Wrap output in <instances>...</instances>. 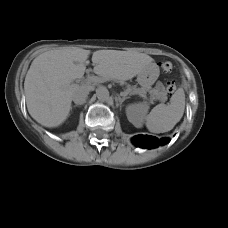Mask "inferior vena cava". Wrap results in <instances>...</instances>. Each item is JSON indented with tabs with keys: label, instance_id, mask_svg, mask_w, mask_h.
<instances>
[{
	"label": "inferior vena cava",
	"instance_id": "obj_1",
	"mask_svg": "<svg viewBox=\"0 0 228 228\" xmlns=\"http://www.w3.org/2000/svg\"><path fill=\"white\" fill-rule=\"evenodd\" d=\"M90 89L84 86L77 87L72 93V100L76 105H82L86 102Z\"/></svg>",
	"mask_w": 228,
	"mask_h": 228
}]
</instances>
